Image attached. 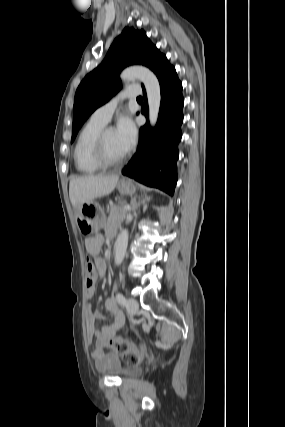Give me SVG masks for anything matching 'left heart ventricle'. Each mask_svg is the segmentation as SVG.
<instances>
[{"instance_id": "b2bd125f", "label": "left heart ventricle", "mask_w": 285, "mask_h": 427, "mask_svg": "<svg viewBox=\"0 0 285 427\" xmlns=\"http://www.w3.org/2000/svg\"><path fill=\"white\" fill-rule=\"evenodd\" d=\"M105 143L107 155L110 159H118L127 153L119 143L114 129H108Z\"/></svg>"}]
</instances>
